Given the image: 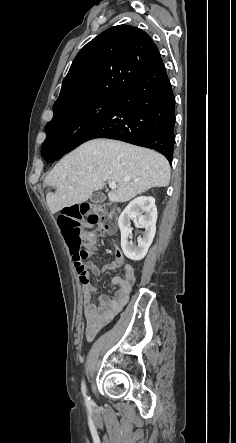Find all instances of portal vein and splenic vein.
<instances>
[{
    "label": "portal vein and splenic vein",
    "instance_id": "18ae733b",
    "mask_svg": "<svg viewBox=\"0 0 236 443\" xmlns=\"http://www.w3.org/2000/svg\"><path fill=\"white\" fill-rule=\"evenodd\" d=\"M109 187H110L111 189H116V188H117V184H116V182H109Z\"/></svg>",
    "mask_w": 236,
    "mask_h": 443
}]
</instances>
